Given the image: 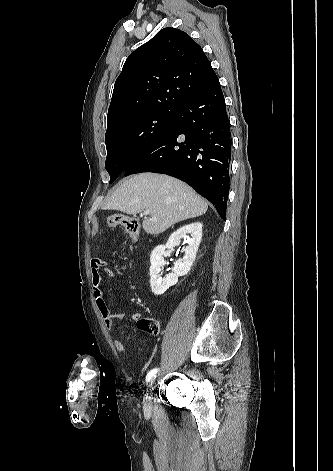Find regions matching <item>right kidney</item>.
I'll list each match as a JSON object with an SVG mask.
<instances>
[{
    "label": "right kidney",
    "instance_id": "obj_1",
    "mask_svg": "<svg viewBox=\"0 0 333 471\" xmlns=\"http://www.w3.org/2000/svg\"><path fill=\"white\" fill-rule=\"evenodd\" d=\"M184 238L187 246L185 247V255L175 264L172 273L161 277L162 266L164 265L165 249H173L180 240ZM202 238V223L194 222L185 225L171 234L165 245L157 246L151 254L150 261V286L155 295L164 294L169 287L178 282L179 277L186 275L196 258L198 246Z\"/></svg>",
    "mask_w": 333,
    "mask_h": 471
}]
</instances>
